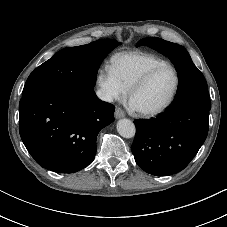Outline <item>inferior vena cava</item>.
<instances>
[{
  "label": "inferior vena cava",
  "mask_w": 227,
  "mask_h": 227,
  "mask_svg": "<svg viewBox=\"0 0 227 227\" xmlns=\"http://www.w3.org/2000/svg\"><path fill=\"white\" fill-rule=\"evenodd\" d=\"M96 95L102 101H106V102H112L113 101V96L103 89L97 90Z\"/></svg>",
  "instance_id": "inferior-vena-cava-1"
}]
</instances>
